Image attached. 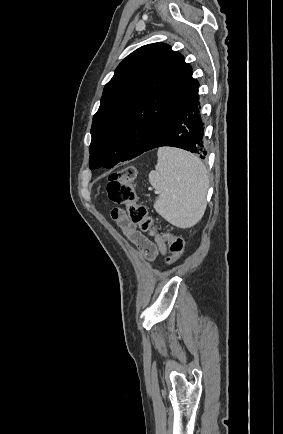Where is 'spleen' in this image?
I'll list each match as a JSON object with an SVG mask.
<instances>
[{
  "label": "spleen",
  "mask_w": 283,
  "mask_h": 434,
  "mask_svg": "<svg viewBox=\"0 0 283 434\" xmlns=\"http://www.w3.org/2000/svg\"><path fill=\"white\" fill-rule=\"evenodd\" d=\"M149 182L158 195L154 208L178 228L197 224L206 210L208 173L201 160L189 152L160 148Z\"/></svg>",
  "instance_id": "1"
}]
</instances>
